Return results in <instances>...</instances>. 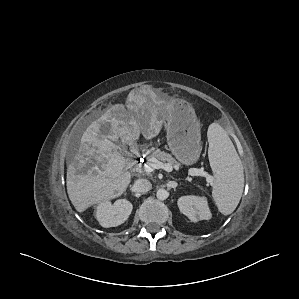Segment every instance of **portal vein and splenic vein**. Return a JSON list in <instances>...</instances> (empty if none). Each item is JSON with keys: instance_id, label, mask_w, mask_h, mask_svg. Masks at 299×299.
Wrapping results in <instances>:
<instances>
[{"instance_id": "1", "label": "portal vein and splenic vein", "mask_w": 299, "mask_h": 299, "mask_svg": "<svg viewBox=\"0 0 299 299\" xmlns=\"http://www.w3.org/2000/svg\"><path fill=\"white\" fill-rule=\"evenodd\" d=\"M155 169H163L165 171L170 172V171H172V166L170 164L160 162L156 158H151L147 161L145 170L147 172H152ZM189 174L191 176L205 177L208 182L213 181V177L211 175H209L207 172L203 171L202 169L191 168L189 170Z\"/></svg>"}]
</instances>
